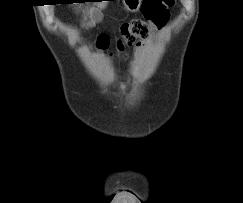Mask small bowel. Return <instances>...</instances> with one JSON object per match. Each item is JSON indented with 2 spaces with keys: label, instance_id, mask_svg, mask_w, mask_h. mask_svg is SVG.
<instances>
[{
  "label": "small bowel",
  "instance_id": "c3829d8e",
  "mask_svg": "<svg viewBox=\"0 0 243 203\" xmlns=\"http://www.w3.org/2000/svg\"><path fill=\"white\" fill-rule=\"evenodd\" d=\"M153 45V41L151 39H143L139 42L136 47V54L138 57H142Z\"/></svg>",
  "mask_w": 243,
  "mask_h": 203
}]
</instances>
